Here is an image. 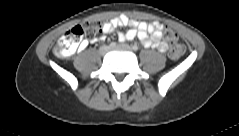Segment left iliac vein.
<instances>
[{
  "mask_svg": "<svg viewBox=\"0 0 239 136\" xmlns=\"http://www.w3.org/2000/svg\"><path fill=\"white\" fill-rule=\"evenodd\" d=\"M113 48H123V49H127V50L131 49V47L129 45H127V44H119V45H117V46H115Z\"/></svg>",
  "mask_w": 239,
  "mask_h": 136,
  "instance_id": "left-iliac-vein-1",
  "label": "left iliac vein"
}]
</instances>
